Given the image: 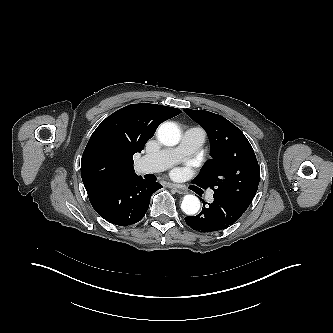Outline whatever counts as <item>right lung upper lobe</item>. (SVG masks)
Returning <instances> with one entry per match:
<instances>
[{"mask_svg":"<svg viewBox=\"0 0 333 333\" xmlns=\"http://www.w3.org/2000/svg\"><path fill=\"white\" fill-rule=\"evenodd\" d=\"M180 113V109L157 104H131L103 120L88 141L81 161L88 195L136 177L133 155L144 149L162 122Z\"/></svg>","mask_w":333,"mask_h":333,"instance_id":"cb5924a9","label":"right lung upper lobe"}]
</instances>
